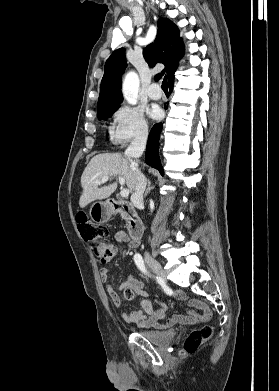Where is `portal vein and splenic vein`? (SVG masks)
I'll use <instances>...</instances> for the list:
<instances>
[{"label":"portal vein and splenic vein","mask_w":279,"mask_h":391,"mask_svg":"<svg viewBox=\"0 0 279 391\" xmlns=\"http://www.w3.org/2000/svg\"><path fill=\"white\" fill-rule=\"evenodd\" d=\"M118 178H119V183H120V185L122 186L120 195H121L122 197H127V196L129 195V189L123 188V185L125 184V181H124L123 177L119 176ZM107 180H108V177H104V178L101 179V180H96V184H97V185L103 184V183L106 182Z\"/></svg>","instance_id":"obj_1"}]
</instances>
